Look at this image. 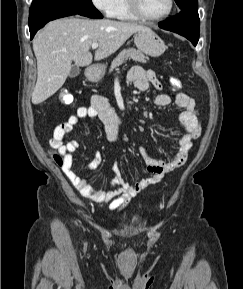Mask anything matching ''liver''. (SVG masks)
Instances as JSON below:
<instances>
[{
  "label": "liver",
  "instance_id": "6515ba94",
  "mask_svg": "<svg viewBox=\"0 0 243 289\" xmlns=\"http://www.w3.org/2000/svg\"><path fill=\"white\" fill-rule=\"evenodd\" d=\"M145 26L110 19L90 20L77 17L49 22L33 40L37 59V82L32 103L40 104L65 83L72 68L88 66L93 56L90 47L99 43L95 60L115 53L134 33Z\"/></svg>",
  "mask_w": 243,
  "mask_h": 289
}]
</instances>
